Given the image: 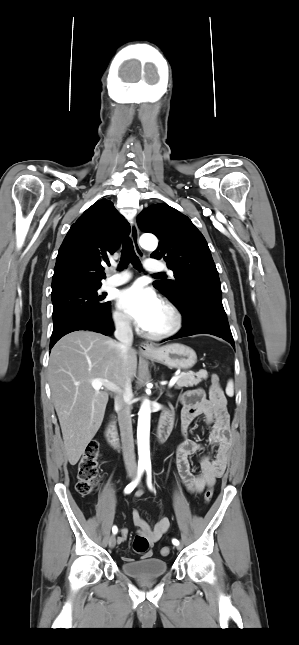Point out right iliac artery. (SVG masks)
Masks as SVG:
<instances>
[{"label":"right iliac artery","mask_w":299,"mask_h":645,"mask_svg":"<svg viewBox=\"0 0 299 645\" xmlns=\"http://www.w3.org/2000/svg\"><path fill=\"white\" fill-rule=\"evenodd\" d=\"M144 468H145L144 466H139L138 467V475H137L136 479L134 481H132L130 484H128L126 486L125 490H124L126 494H129L134 490V488L138 484V482H139V480H140V478H141V476L143 474ZM117 531H118L117 527L113 526V528H112L113 534H116Z\"/></svg>","instance_id":"1"}]
</instances>
